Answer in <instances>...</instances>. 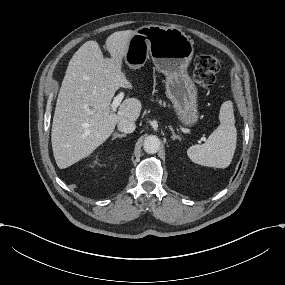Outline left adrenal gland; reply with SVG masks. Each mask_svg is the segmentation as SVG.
Returning <instances> with one entry per match:
<instances>
[{
	"mask_svg": "<svg viewBox=\"0 0 285 285\" xmlns=\"http://www.w3.org/2000/svg\"><path fill=\"white\" fill-rule=\"evenodd\" d=\"M168 127H169V129L171 130V132H172L171 138H172L173 140L178 139V140L181 141V137H180L179 135H177V134L174 132V129L172 128V126H168Z\"/></svg>",
	"mask_w": 285,
	"mask_h": 285,
	"instance_id": "obj_1",
	"label": "left adrenal gland"
}]
</instances>
